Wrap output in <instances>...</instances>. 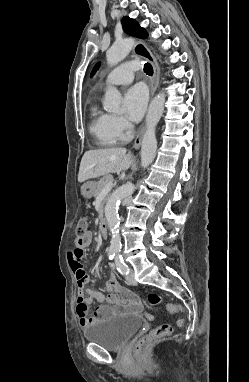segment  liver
I'll list each match as a JSON object with an SVG mask.
<instances>
[{"mask_svg": "<svg viewBox=\"0 0 249 382\" xmlns=\"http://www.w3.org/2000/svg\"><path fill=\"white\" fill-rule=\"evenodd\" d=\"M132 163V155L126 154L124 148L89 150L84 153L81 159L78 182L81 183L108 173L119 174L128 170Z\"/></svg>", "mask_w": 249, "mask_h": 382, "instance_id": "liver-1", "label": "liver"}]
</instances>
